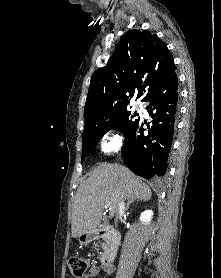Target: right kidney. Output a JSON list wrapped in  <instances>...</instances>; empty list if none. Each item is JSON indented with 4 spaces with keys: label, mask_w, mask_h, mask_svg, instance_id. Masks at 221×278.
Listing matches in <instances>:
<instances>
[{
    "label": "right kidney",
    "mask_w": 221,
    "mask_h": 278,
    "mask_svg": "<svg viewBox=\"0 0 221 278\" xmlns=\"http://www.w3.org/2000/svg\"><path fill=\"white\" fill-rule=\"evenodd\" d=\"M153 216V211L152 210H145L144 212L141 213L140 215V221L142 223H149L151 218Z\"/></svg>",
    "instance_id": "right-kidney-1"
}]
</instances>
